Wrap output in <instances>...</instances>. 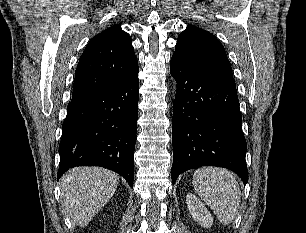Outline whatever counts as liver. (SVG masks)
Segmentation results:
<instances>
[{
  "label": "liver",
  "mask_w": 306,
  "mask_h": 233,
  "mask_svg": "<svg viewBox=\"0 0 306 233\" xmlns=\"http://www.w3.org/2000/svg\"><path fill=\"white\" fill-rule=\"evenodd\" d=\"M118 184V175L104 168L71 169L61 178L63 207L78 226L85 227L109 202Z\"/></svg>",
  "instance_id": "liver-1"
}]
</instances>
